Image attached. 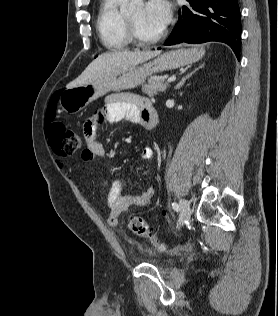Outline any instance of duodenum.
<instances>
[{"label": "duodenum", "instance_id": "obj_1", "mask_svg": "<svg viewBox=\"0 0 278 316\" xmlns=\"http://www.w3.org/2000/svg\"><path fill=\"white\" fill-rule=\"evenodd\" d=\"M159 121V116L156 109L153 106L148 107L144 114L142 123L147 129H153L157 126Z\"/></svg>", "mask_w": 278, "mask_h": 316}]
</instances>
